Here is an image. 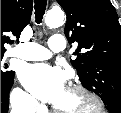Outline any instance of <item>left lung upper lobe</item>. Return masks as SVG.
I'll use <instances>...</instances> for the list:
<instances>
[{
  "mask_svg": "<svg viewBox=\"0 0 121 113\" xmlns=\"http://www.w3.org/2000/svg\"><path fill=\"white\" fill-rule=\"evenodd\" d=\"M67 15L65 34L78 44L72 60L84 87L121 113V26L110 0H57Z\"/></svg>",
  "mask_w": 121,
  "mask_h": 113,
  "instance_id": "1",
  "label": "left lung upper lobe"
}]
</instances>
